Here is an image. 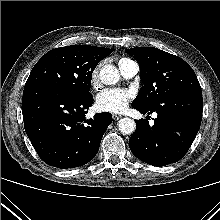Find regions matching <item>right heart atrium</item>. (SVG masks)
<instances>
[{
	"mask_svg": "<svg viewBox=\"0 0 220 220\" xmlns=\"http://www.w3.org/2000/svg\"><path fill=\"white\" fill-rule=\"evenodd\" d=\"M98 68H96L92 74H91V83L92 85H97L98 84V81H99V76H98Z\"/></svg>",
	"mask_w": 220,
	"mask_h": 220,
	"instance_id": "1",
	"label": "right heart atrium"
}]
</instances>
